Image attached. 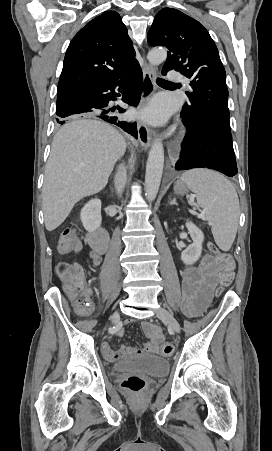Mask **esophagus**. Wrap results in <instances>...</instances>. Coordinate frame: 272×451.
I'll return each mask as SVG.
<instances>
[{"label": "esophagus", "mask_w": 272, "mask_h": 451, "mask_svg": "<svg viewBox=\"0 0 272 451\" xmlns=\"http://www.w3.org/2000/svg\"><path fill=\"white\" fill-rule=\"evenodd\" d=\"M155 91H156V69L146 64L143 67V83L139 109L143 108L148 104L151 96ZM137 130H138V140L140 144L144 149H147L151 144L152 130L143 121H138Z\"/></svg>", "instance_id": "34e87169"}]
</instances>
